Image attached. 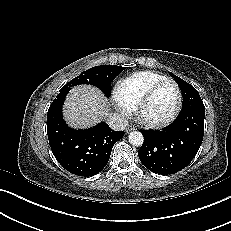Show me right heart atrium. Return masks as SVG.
Listing matches in <instances>:
<instances>
[{
  "label": "right heart atrium",
  "mask_w": 231,
  "mask_h": 231,
  "mask_svg": "<svg viewBox=\"0 0 231 231\" xmlns=\"http://www.w3.org/2000/svg\"><path fill=\"white\" fill-rule=\"evenodd\" d=\"M117 110H118V113L121 117H127L129 112H130V108L128 106H126L125 104L121 103L117 98Z\"/></svg>",
  "instance_id": "d8ad5b80"
}]
</instances>
